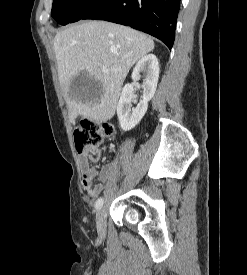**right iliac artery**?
<instances>
[{"label": "right iliac artery", "mask_w": 247, "mask_h": 275, "mask_svg": "<svg viewBox=\"0 0 247 275\" xmlns=\"http://www.w3.org/2000/svg\"><path fill=\"white\" fill-rule=\"evenodd\" d=\"M103 198L102 197H100L97 201H96V203H95V208L97 209V210H99L102 206H103Z\"/></svg>", "instance_id": "1"}]
</instances>
